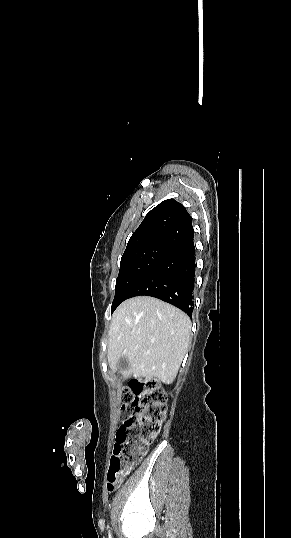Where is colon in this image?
Returning a JSON list of instances; mask_svg holds the SVG:
<instances>
[{
  "label": "colon",
  "instance_id": "5ec220e1",
  "mask_svg": "<svg viewBox=\"0 0 291 538\" xmlns=\"http://www.w3.org/2000/svg\"><path fill=\"white\" fill-rule=\"evenodd\" d=\"M122 422L107 470V489L114 491L161 431L166 394L156 380H130L122 390Z\"/></svg>",
  "mask_w": 291,
  "mask_h": 538
}]
</instances>
